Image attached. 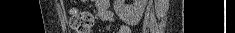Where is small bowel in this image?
I'll return each instance as SVG.
<instances>
[{
  "instance_id": "1",
  "label": "small bowel",
  "mask_w": 235,
  "mask_h": 33,
  "mask_svg": "<svg viewBox=\"0 0 235 33\" xmlns=\"http://www.w3.org/2000/svg\"><path fill=\"white\" fill-rule=\"evenodd\" d=\"M95 5L98 10V16L101 20L109 23L114 22V15L112 11L109 9L108 0H96ZM118 33H130V29L126 26H121Z\"/></svg>"
}]
</instances>
